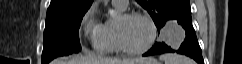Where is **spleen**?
Instances as JSON below:
<instances>
[{
    "mask_svg": "<svg viewBox=\"0 0 242 64\" xmlns=\"http://www.w3.org/2000/svg\"><path fill=\"white\" fill-rule=\"evenodd\" d=\"M161 61H164L165 64H191V62L181 55L176 54H165L160 56Z\"/></svg>",
    "mask_w": 242,
    "mask_h": 64,
    "instance_id": "3e777b00",
    "label": "spleen"
}]
</instances>
